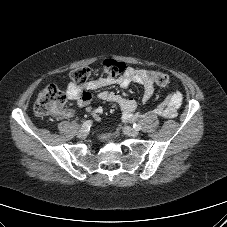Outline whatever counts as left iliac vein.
<instances>
[{
  "label": "left iliac vein",
  "mask_w": 227,
  "mask_h": 227,
  "mask_svg": "<svg viewBox=\"0 0 227 227\" xmlns=\"http://www.w3.org/2000/svg\"><path fill=\"white\" fill-rule=\"evenodd\" d=\"M123 132L128 135V136H132V137H136L139 135V131L132 128V127H129V126H124L123 127Z\"/></svg>",
  "instance_id": "obj_1"
}]
</instances>
